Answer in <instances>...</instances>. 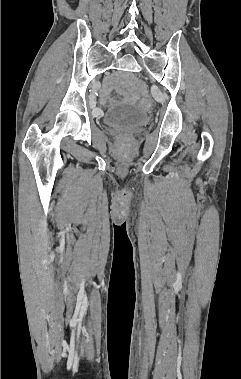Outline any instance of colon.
Instances as JSON below:
<instances>
[{"label":"colon","instance_id":"1","mask_svg":"<svg viewBox=\"0 0 241 379\" xmlns=\"http://www.w3.org/2000/svg\"><path fill=\"white\" fill-rule=\"evenodd\" d=\"M141 106L144 108H149L151 105V98L149 94H142L141 95Z\"/></svg>","mask_w":241,"mask_h":379}]
</instances>
